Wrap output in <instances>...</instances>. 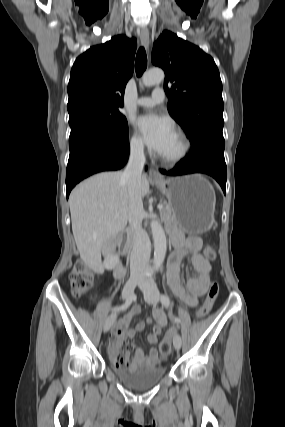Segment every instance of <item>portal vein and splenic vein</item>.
I'll return each mask as SVG.
<instances>
[{
	"instance_id": "portal-vein-and-splenic-vein-1",
	"label": "portal vein and splenic vein",
	"mask_w": 285,
	"mask_h": 427,
	"mask_svg": "<svg viewBox=\"0 0 285 427\" xmlns=\"http://www.w3.org/2000/svg\"><path fill=\"white\" fill-rule=\"evenodd\" d=\"M157 207H158V209H159V210H162V209H163V205H162V204H158V206H157Z\"/></svg>"
}]
</instances>
